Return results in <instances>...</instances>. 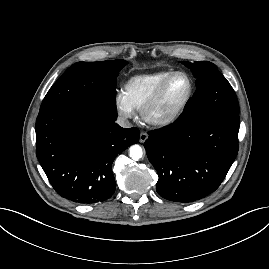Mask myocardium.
<instances>
[{
    "mask_svg": "<svg viewBox=\"0 0 269 269\" xmlns=\"http://www.w3.org/2000/svg\"><path fill=\"white\" fill-rule=\"evenodd\" d=\"M184 76L187 78L189 83V88L186 96L184 99L178 104L175 108L172 110L163 113V114H155V109L157 108L158 104L161 101V98L164 94V91L168 84L171 82L173 78L176 76ZM194 91V84L192 78L183 71H175L172 72L155 90L151 98L148 100V102L144 105V107L141 109V117L142 119L149 125L155 126V127H163L167 126L171 123H173L175 120L178 119V117L182 114V112L185 110L186 106L190 102L192 95Z\"/></svg>",
    "mask_w": 269,
    "mask_h": 269,
    "instance_id": "f54148a6",
    "label": "myocardium"
}]
</instances>
